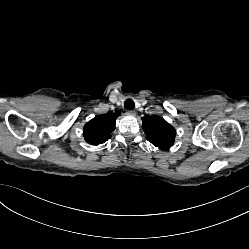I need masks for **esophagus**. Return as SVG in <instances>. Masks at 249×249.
<instances>
[{
	"label": "esophagus",
	"instance_id": "34e87169",
	"mask_svg": "<svg viewBox=\"0 0 249 249\" xmlns=\"http://www.w3.org/2000/svg\"><path fill=\"white\" fill-rule=\"evenodd\" d=\"M135 111H132V110H128L127 111V115H129V116H135Z\"/></svg>",
	"mask_w": 249,
	"mask_h": 249
}]
</instances>
